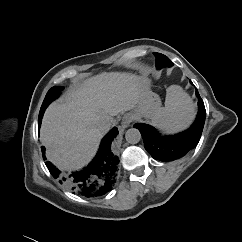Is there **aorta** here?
Instances as JSON below:
<instances>
[{
	"instance_id": "obj_1",
	"label": "aorta",
	"mask_w": 242,
	"mask_h": 242,
	"mask_svg": "<svg viewBox=\"0 0 242 242\" xmlns=\"http://www.w3.org/2000/svg\"><path fill=\"white\" fill-rule=\"evenodd\" d=\"M125 138L129 144H137L141 139V135L137 129H129L125 133Z\"/></svg>"
}]
</instances>
